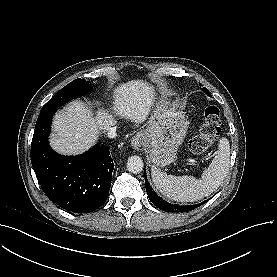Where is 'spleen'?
Listing matches in <instances>:
<instances>
[{"label": "spleen", "instance_id": "3e777b00", "mask_svg": "<svg viewBox=\"0 0 277 277\" xmlns=\"http://www.w3.org/2000/svg\"><path fill=\"white\" fill-rule=\"evenodd\" d=\"M230 144L227 138L219 140L215 157L206 168L201 178L193 176L167 175L152 166V181L164 196L179 202H194L213 193L223 182L229 172Z\"/></svg>", "mask_w": 277, "mask_h": 277}]
</instances>
